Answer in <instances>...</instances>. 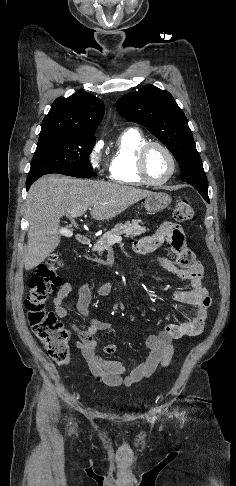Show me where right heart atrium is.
Segmentation results:
<instances>
[{
  "mask_svg": "<svg viewBox=\"0 0 236 486\" xmlns=\"http://www.w3.org/2000/svg\"><path fill=\"white\" fill-rule=\"evenodd\" d=\"M102 149H103V141L97 140L94 143V145L92 146V149L90 151L89 160H90L91 166L95 170L100 169L101 161H102Z\"/></svg>",
  "mask_w": 236,
  "mask_h": 486,
  "instance_id": "obj_1",
  "label": "right heart atrium"
}]
</instances>
